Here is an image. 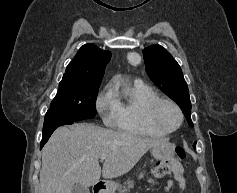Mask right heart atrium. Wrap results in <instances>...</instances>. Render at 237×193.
<instances>
[{"mask_svg": "<svg viewBox=\"0 0 237 193\" xmlns=\"http://www.w3.org/2000/svg\"><path fill=\"white\" fill-rule=\"evenodd\" d=\"M96 108L105 123L109 125L114 124L117 104L110 86H106L98 95L96 99Z\"/></svg>", "mask_w": 237, "mask_h": 193, "instance_id": "right-heart-atrium-1", "label": "right heart atrium"}]
</instances>
